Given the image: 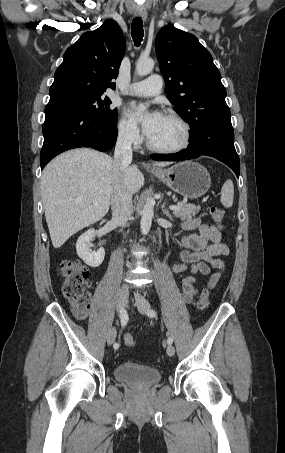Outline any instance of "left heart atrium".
<instances>
[{
    "instance_id": "1",
    "label": "left heart atrium",
    "mask_w": 285,
    "mask_h": 453,
    "mask_svg": "<svg viewBox=\"0 0 285 453\" xmlns=\"http://www.w3.org/2000/svg\"><path fill=\"white\" fill-rule=\"evenodd\" d=\"M130 113L134 119L142 124L143 130L148 137L152 135L163 116L158 110L142 114L139 105L135 103L131 104Z\"/></svg>"
}]
</instances>
